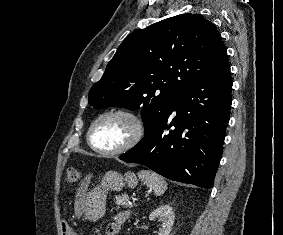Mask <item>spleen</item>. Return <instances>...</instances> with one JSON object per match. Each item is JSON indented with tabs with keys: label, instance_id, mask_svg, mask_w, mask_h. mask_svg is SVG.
Segmentation results:
<instances>
[{
	"label": "spleen",
	"instance_id": "obj_1",
	"mask_svg": "<svg viewBox=\"0 0 283 235\" xmlns=\"http://www.w3.org/2000/svg\"><path fill=\"white\" fill-rule=\"evenodd\" d=\"M138 177L150 189H152L157 196H161L167 189V182L163 177L149 170H141L138 172Z\"/></svg>",
	"mask_w": 283,
	"mask_h": 235
}]
</instances>
